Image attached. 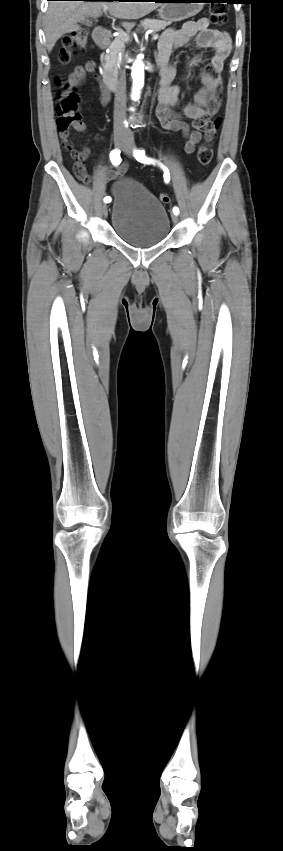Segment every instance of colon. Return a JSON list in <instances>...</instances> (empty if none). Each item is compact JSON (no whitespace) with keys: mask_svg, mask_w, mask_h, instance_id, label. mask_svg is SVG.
<instances>
[{"mask_svg":"<svg viewBox=\"0 0 283 851\" xmlns=\"http://www.w3.org/2000/svg\"><path fill=\"white\" fill-rule=\"evenodd\" d=\"M227 12L228 8L225 5L214 4L210 10L211 21L217 25L226 23ZM87 43L88 31L85 28L77 29L65 35L62 40V48L59 52V61L64 65L69 64L74 58L75 50H84ZM66 89L67 83L64 85L61 101L56 107L57 127L60 133L68 132L71 126L75 127L83 124L82 116L79 112V98L74 90L65 95L64 91ZM220 125V118L208 121L204 125L205 141L197 152V159L201 165H208L212 160L213 151L211 143L216 137ZM74 174L83 182H90L91 180L82 165L74 166ZM159 199L163 203H167L170 200V196L168 193L162 192L159 195Z\"/></svg>","mask_w":283,"mask_h":851,"instance_id":"colon-1","label":"colon"}]
</instances>
